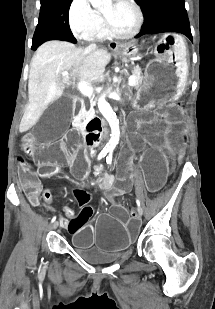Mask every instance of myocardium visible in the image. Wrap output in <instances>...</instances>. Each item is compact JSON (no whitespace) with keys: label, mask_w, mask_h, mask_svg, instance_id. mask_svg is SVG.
Segmentation results:
<instances>
[{"label":"myocardium","mask_w":215,"mask_h":309,"mask_svg":"<svg viewBox=\"0 0 215 309\" xmlns=\"http://www.w3.org/2000/svg\"><path fill=\"white\" fill-rule=\"evenodd\" d=\"M120 8L128 10L132 14V22L128 27H111L112 20L106 19L103 23V30H107L108 34L112 38H133V36L139 30L141 24V14L139 10L131 4H121Z\"/></svg>","instance_id":"1"}]
</instances>
